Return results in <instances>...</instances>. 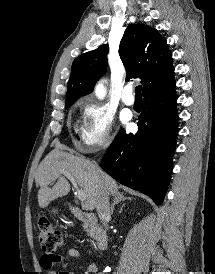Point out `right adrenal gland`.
Here are the masks:
<instances>
[{
    "instance_id": "1",
    "label": "right adrenal gland",
    "mask_w": 215,
    "mask_h": 274,
    "mask_svg": "<svg viewBox=\"0 0 215 274\" xmlns=\"http://www.w3.org/2000/svg\"><path fill=\"white\" fill-rule=\"evenodd\" d=\"M125 200H131V198H127L123 195V193H116L115 198H114V202L111 205V209L110 212L111 214H113L114 212V207L116 204H118L121 201H125Z\"/></svg>"
}]
</instances>
